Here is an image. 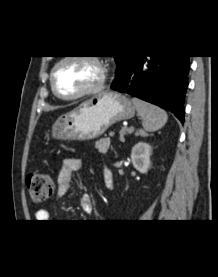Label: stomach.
<instances>
[{"instance_id": "stomach-1", "label": "stomach", "mask_w": 218, "mask_h": 277, "mask_svg": "<svg viewBox=\"0 0 218 277\" xmlns=\"http://www.w3.org/2000/svg\"><path fill=\"white\" fill-rule=\"evenodd\" d=\"M134 115L135 106L129 98L105 91L60 116L52 126V137L59 140H91L104 134L116 122Z\"/></svg>"}]
</instances>
